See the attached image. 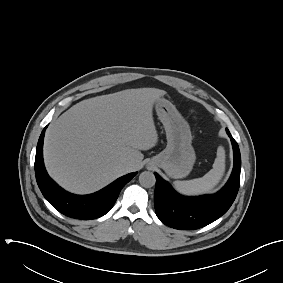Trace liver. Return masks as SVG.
Returning a JSON list of instances; mask_svg holds the SVG:
<instances>
[{"label":"liver","mask_w":283,"mask_h":283,"mask_svg":"<svg viewBox=\"0 0 283 283\" xmlns=\"http://www.w3.org/2000/svg\"><path fill=\"white\" fill-rule=\"evenodd\" d=\"M166 92L127 89L83 100L52 122L44 140L49 175L66 190L89 194L138 169L158 142L154 103ZM130 162L128 170L121 165Z\"/></svg>","instance_id":"liver-1"}]
</instances>
